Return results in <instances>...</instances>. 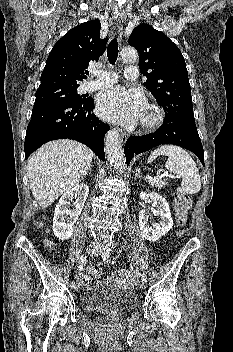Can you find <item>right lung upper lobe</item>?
<instances>
[{"mask_svg": "<svg viewBox=\"0 0 233 352\" xmlns=\"http://www.w3.org/2000/svg\"><path fill=\"white\" fill-rule=\"evenodd\" d=\"M101 23L92 20L67 32L51 50L39 87L60 84L79 86L85 70L103 55L108 39H100Z\"/></svg>", "mask_w": 233, "mask_h": 352, "instance_id": "right-lung-upper-lobe-1", "label": "right lung upper lobe"}]
</instances>
